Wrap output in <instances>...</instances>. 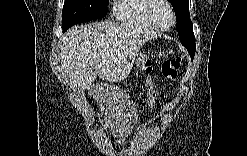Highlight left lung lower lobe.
<instances>
[{
  "label": "left lung lower lobe",
  "mask_w": 247,
  "mask_h": 156,
  "mask_svg": "<svg viewBox=\"0 0 247 156\" xmlns=\"http://www.w3.org/2000/svg\"><path fill=\"white\" fill-rule=\"evenodd\" d=\"M191 59L193 60L194 59V56H191Z\"/></svg>",
  "instance_id": "1"
}]
</instances>
